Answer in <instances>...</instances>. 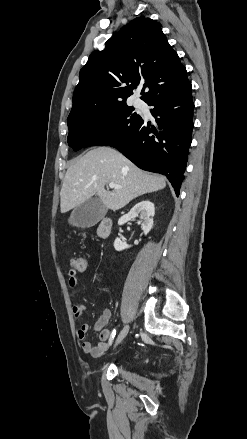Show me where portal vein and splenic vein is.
<instances>
[{
    "mask_svg": "<svg viewBox=\"0 0 247 439\" xmlns=\"http://www.w3.org/2000/svg\"><path fill=\"white\" fill-rule=\"evenodd\" d=\"M109 187L111 189H120L121 188L120 186L116 185L115 183H109Z\"/></svg>",
    "mask_w": 247,
    "mask_h": 439,
    "instance_id": "1",
    "label": "portal vein and splenic vein"
}]
</instances>
